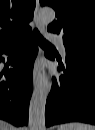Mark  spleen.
<instances>
[{
	"mask_svg": "<svg viewBox=\"0 0 95 130\" xmlns=\"http://www.w3.org/2000/svg\"><path fill=\"white\" fill-rule=\"evenodd\" d=\"M58 130H95L94 126L84 124L80 122H71L62 124L58 127Z\"/></svg>",
	"mask_w": 95,
	"mask_h": 130,
	"instance_id": "1",
	"label": "spleen"
}]
</instances>
